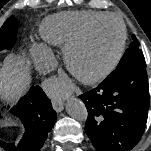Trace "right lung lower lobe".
Listing matches in <instances>:
<instances>
[{
    "instance_id": "1",
    "label": "right lung lower lobe",
    "mask_w": 151,
    "mask_h": 151,
    "mask_svg": "<svg viewBox=\"0 0 151 151\" xmlns=\"http://www.w3.org/2000/svg\"><path fill=\"white\" fill-rule=\"evenodd\" d=\"M11 113L24 125L25 134L18 145L0 140V149L40 151L57 119V114L41 87L32 86L30 91L11 109Z\"/></svg>"
}]
</instances>
